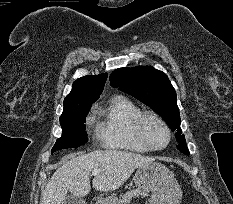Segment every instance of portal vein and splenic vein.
Segmentation results:
<instances>
[{
  "mask_svg": "<svg viewBox=\"0 0 233 204\" xmlns=\"http://www.w3.org/2000/svg\"><path fill=\"white\" fill-rule=\"evenodd\" d=\"M104 170H101V169H94L93 171H92V175L93 176H96V175H99L101 172H103Z\"/></svg>",
  "mask_w": 233,
  "mask_h": 204,
  "instance_id": "18ae733b",
  "label": "portal vein and splenic vein"
}]
</instances>
